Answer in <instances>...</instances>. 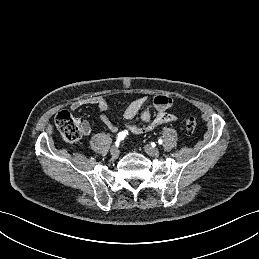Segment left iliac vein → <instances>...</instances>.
<instances>
[{"instance_id": "left-iliac-vein-1", "label": "left iliac vein", "mask_w": 259, "mask_h": 259, "mask_svg": "<svg viewBox=\"0 0 259 259\" xmlns=\"http://www.w3.org/2000/svg\"><path fill=\"white\" fill-rule=\"evenodd\" d=\"M144 151L146 152V154H148L149 156H158L160 154V151L158 148L152 147L150 145H145L144 146Z\"/></svg>"}]
</instances>
